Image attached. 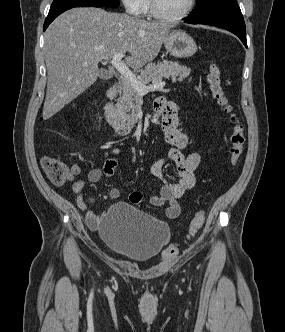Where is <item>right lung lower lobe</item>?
I'll list each match as a JSON object with an SVG mask.
<instances>
[{"mask_svg": "<svg viewBox=\"0 0 285 332\" xmlns=\"http://www.w3.org/2000/svg\"><path fill=\"white\" fill-rule=\"evenodd\" d=\"M73 8V7H65V8H58V9H50L48 16L44 22V26H43V31H45L47 29V27L49 26V24L61 13H63L64 11Z\"/></svg>", "mask_w": 285, "mask_h": 332, "instance_id": "right-lung-lower-lobe-1", "label": "right lung lower lobe"}]
</instances>
